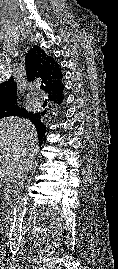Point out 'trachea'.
Instances as JSON below:
<instances>
[{
    "instance_id": "3493384b",
    "label": "trachea",
    "mask_w": 118,
    "mask_h": 269,
    "mask_svg": "<svg viewBox=\"0 0 118 269\" xmlns=\"http://www.w3.org/2000/svg\"><path fill=\"white\" fill-rule=\"evenodd\" d=\"M40 89L44 90V85L43 84H41Z\"/></svg>"
}]
</instances>
